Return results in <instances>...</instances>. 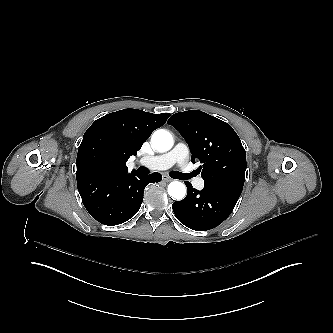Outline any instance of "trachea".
<instances>
[{
    "label": "trachea",
    "mask_w": 333,
    "mask_h": 333,
    "mask_svg": "<svg viewBox=\"0 0 333 333\" xmlns=\"http://www.w3.org/2000/svg\"><path fill=\"white\" fill-rule=\"evenodd\" d=\"M176 173L179 174V172H172V173H170V176H171L172 178H177V177H176Z\"/></svg>",
    "instance_id": "trachea-1"
}]
</instances>
